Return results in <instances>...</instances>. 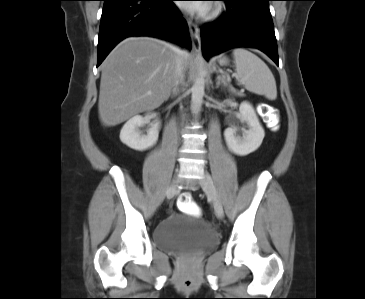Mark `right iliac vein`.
<instances>
[{
  "mask_svg": "<svg viewBox=\"0 0 365 299\" xmlns=\"http://www.w3.org/2000/svg\"><path fill=\"white\" fill-rule=\"evenodd\" d=\"M177 183H178V177H175L173 179V181L171 182V184L169 185L167 192H166L168 199H171L174 196V194L176 193Z\"/></svg>",
  "mask_w": 365,
  "mask_h": 299,
  "instance_id": "obj_1",
  "label": "right iliac vein"
}]
</instances>
